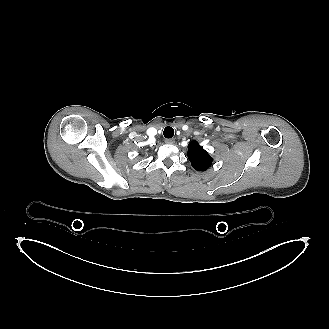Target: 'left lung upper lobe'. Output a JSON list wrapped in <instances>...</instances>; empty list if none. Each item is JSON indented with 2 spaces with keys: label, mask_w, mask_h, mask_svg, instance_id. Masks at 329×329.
Returning a JSON list of instances; mask_svg holds the SVG:
<instances>
[{
  "label": "left lung upper lobe",
  "mask_w": 329,
  "mask_h": 329,
  "mask_svg": "<svg viewBox=\"0 0 329 329\" xmlns=\"http://www.w3.org/2000/svg\"><path fill=\"white\" fill-rule=\"evenodd\" d=\"M188 157L192 167L198 171L207 170L213 161V158L196 141L188 145Z\"/></svg>",
  "instance_id": "5c2ea615"
}]
</instances>
